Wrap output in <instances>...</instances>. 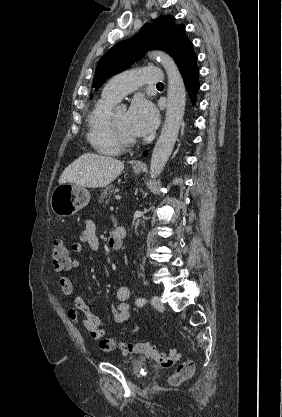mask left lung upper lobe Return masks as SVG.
<instances>
[{"instance_id": "left-lung-upper-lobe-1", "label": "left lung upper lobe", "mask_w": 282, "mask_h": 417, "mask_svg": "<svg viewBox=\"0 0 282 417\" xmlns=\"http://www.w3.org/2000/svg\"><path fill=\"white\" fill-rule=\"evenodd\" d=\"M174 21L172 15H162L146 23L133 38L115 44L99 60L92 87L98 89L109 76L127 69L148 50L161 49L174 58L190 42L185 26Z\"/></svg>"}]
</instances>
